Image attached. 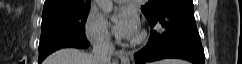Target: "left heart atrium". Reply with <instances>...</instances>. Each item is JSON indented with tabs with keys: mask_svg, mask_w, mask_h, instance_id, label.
<instances>
[{
	"mask_svg": "<svg viewBox=\"0 0 242 64\" xmlns=\"http://www.w3.org/2000/svg\"><path fill=\"white\" fill-rule=\"evenodd\" d=\"M138 17L134 10L125 9L119 12L115 18L114 33L120 38H133L138 31Z\"/></svg>",
	"mask_w": 242,
	"mask_h": 64,
	"instance_id": "obj_1",
	"label": "left heart atrium"
}]
</instances>
